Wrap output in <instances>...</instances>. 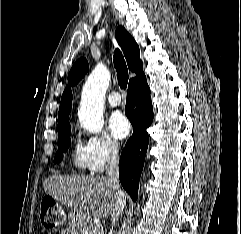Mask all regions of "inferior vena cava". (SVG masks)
Masks as SVG:
<instances>
[{
    "instance_id": "inferior-vena-cava-1",
    "label": "inferior vena cava",
    "mask_w": 241,
    "mask_h": 234,
    "mask_svg": "<svg viewBox=\"0 0 241 234\" xmlns=\"http://www.w3.org/2000/svg\"><path fill=\"white\" fill-rule=\"evenodd\" d=\"M106 174L111 187L116 191L117 195L115 206L111 215L112 228L109 233L113 234V226L118 220L119 215L122 213L126 202L125 195L120 189L118 146L115 143H112L111 145V150L107 161Z\"/></svg>"
}]
</instances>
